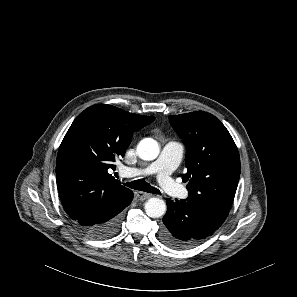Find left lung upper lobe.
Segmentation results:
<instances>
[{"label":"left lung upper lobe","instance_id":"obj_1","mask_svg":"<svg viewBox=\"0 0 297 297\" xmlns=\"http://www.w3.org/2000/svg\"><path fill=\"white\" fill-rule=\"evenodd\" d=\"M169 120L187 148V172L182 175L189 181L186 201L229 211L240 177V157L230 133L203 111L170 115Z\"/></svg>","mask_w":297,"mask_h":297}]
</instances>
